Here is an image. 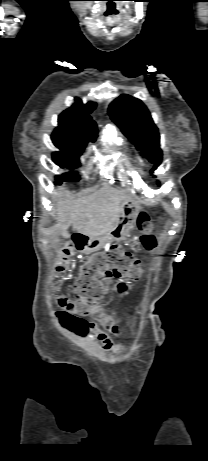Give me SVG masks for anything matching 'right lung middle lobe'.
I'll return each mask as SVG.
<instances>
[{
  "label": "right lung middle lobe",
  "mask_w": 208,
  "mask_h": 461,
  "mask_svg": "<svg viewBox=\"0 0 208 461\" xmlns=\"http://www.w3.org/2000/svg\"><path fill=\"white\" fill-rule=\"evenodd\" d=\"M97 135L71 138L61 134L53 133L52 141L56 147L61 151L53 153V161L61 168L75 169L80 166L79 156L84 151V148L89 140L95 141ZM78 173L72 171L71 173H64L56 177L55 184H61L62 181L78 182L79 178L76 176Z\"/></svg>",
  "instance_id": "1"
}]
</instances>
